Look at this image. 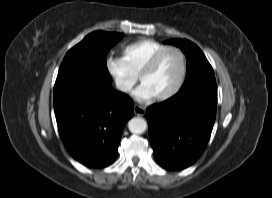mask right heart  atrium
<instances>
[{"label": "right heart atrium", "instance_id": "right-heart-atrium-1", "mask_svg": "<svg viewBox=\"0 0 272 198\" xmlns=\"http://www.w3.org/2000/svg\"><path fill=\"white\" fill-rule=\"evenodd\" d=\"M105 67L117 90L125 95L130 94L137 81V75L126 61L122 57L110 55L105 60Z\"/></svg>", "mask_w": 272, "mask_h": 198}]
</instances>
